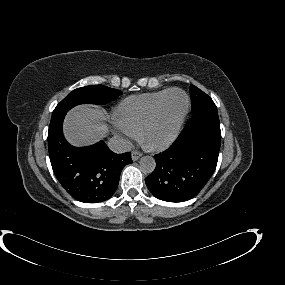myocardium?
I'll return each instance as SVG.
<instances>
[{"instance_id":"myocardium-1","label":"myocardium","mask_w":285,"mask_h":285,"mask_svg":"<svg viewBox=\"0 0 285 285\" xmlns=\"http://www.w3.org/2000/svg\"><path fill=\"white\" fill-rule=\"evenodd\" d=\"M173 92H180L185 96L186 106H185L184 112L182 113V115H181V117L177 123V127H176L174 133L171 135V137H169L168 139H166L162 142H158L155 144H149L145 140V135L156 124V122L160 119L162 112L164 110L165 103H166L169 95ZM189 109H190V99H189L188 94L180 88L169 89L165 93V95L162 97V99L159 101V103L157 104V106H156L154 112L152 113L151 117L146 121V123L141 128V130L138 134L140 142L145 147H147L148 149H152V150L162 149V148H166V147L170 146L179 136L180 131L182 129V126H183V124L187 118L188 113H189Z\"/></svg>"}]
</instances>
